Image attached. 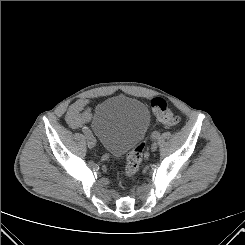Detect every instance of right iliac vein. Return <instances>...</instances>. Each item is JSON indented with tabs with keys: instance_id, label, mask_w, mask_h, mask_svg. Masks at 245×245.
I'll return each mask as SVG.
<instances>
[{
	"instance_id": "1",
	"label": "right iliac vein",
	"mask_w": 245,
	"mask_h": 245,
	"mask_svg": "<svg viewBox=\"0 0 245 245\" xmlns=\"http://www.w3.org/2000/svg\"><path fill=\"white\" fill-rule=\"evenodd\" d=\"M87 143L89 148H93L96 145V139L92 134L87 136Z\"/></svg>"
}]
</instances>
